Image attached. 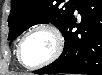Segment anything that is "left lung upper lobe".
<instances>
[{"mask_svg":"<svg viewBox=\"0 0 102 75\" xmlns=\"http://www.w3.org/2000/svg\"><path fill=\"white\" fill-rule=\"evenodd\" d=\"M80 0H11L8 18L9 37L14 39L29 27L52 23L61 29Z\"/></svg>","mask_w":102,"mask_h":75,"instance_id":"left-lung-upper-lobe-1","label":"left lung upper lobe"}]
</instances>
